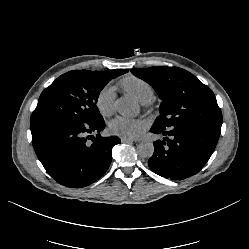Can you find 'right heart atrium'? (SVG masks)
Here are the masks:
<instances>
[{
  "label": "right heart atrium",
  "mask_w": 249,
  "mask_h": 249,
  "mask_svg": "<svg viewBox=\"0 0 249 249\" xmlns=\"http://www.w3.org/2000/svg\"><path fill=\"white\" fill-rule=\"evenodd\" d=\"M115 89L107 84L100 88L95 98V105L98 112L106 117L113 113L115 102Z\"/></svg>",
  "instance_id": "1"
}]
</instances>
